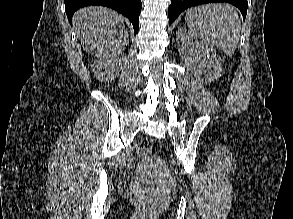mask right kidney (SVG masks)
Segmentation results:
<instances>
[{
	"label": "right kidney",
	"instance_id": "right-kidney-1",
	"mask_svg": "<svg viewBox=\"0 0 293 219\" xmlns=\"http://www.w3.org/2000/svg\"><path fill=\"white\" fill-rule=\"evenodd\" d=\"M122 58L119 54L99 57L92 65V72L100 81H111L120 73Z\"/></svg>",
	"mask_w": 293,
	"mask_h": 219
}]
</instances>
